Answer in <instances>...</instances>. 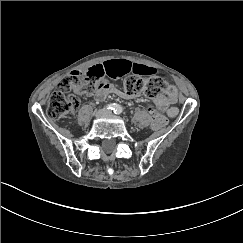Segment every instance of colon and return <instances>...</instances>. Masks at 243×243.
<instances>
[{"instance_id": "5ec220e1", "label": "colon", "mask_w": 243, "mask_h": 243, "mask_svg": "<svg viewBox=\"0 0 243 243\" xmlns=\"http://www.w3.org/2000/svg\"><path fill=\"white\" fill-rule=\"evenodd\" d=\"M103 76L90 73L72 72L60 81V87L64 90H72L75 94H66L64 91H55L50 96L47 106V116L58 120L75 113L79 100L76 94L90 95L99 88L108 85ZM123 93L128 96L143 94L149 98H157L162 95L174 96L176 89L173 85L159 77L142 78L130 76L123 83ZM152 114V127L160 129L168 124V119L149 109Z\"/></svg>"}]
</instances>
